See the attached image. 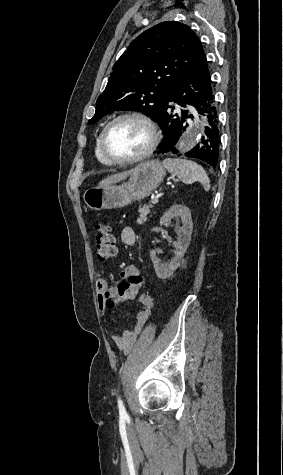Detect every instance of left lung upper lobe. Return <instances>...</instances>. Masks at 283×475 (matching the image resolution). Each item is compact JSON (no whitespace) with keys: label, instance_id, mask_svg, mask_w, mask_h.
<instances>
[{"label":"left lung upper lobe","instance_id":"obj_1","mask_svg":"<svg viewBox=\"0 0 283 475\" xmlns=\"http://www.w3.org/2000/svg\"><path fill=\"white\" fill-rule=\"evenodd\" d=\"M189 26L166 21L140 34L113 66L89 124L115 110L141 111L158 119L174 84L206 62Z\"/></svg>","mask_w":283,"mask_h":475}]
</instances>
